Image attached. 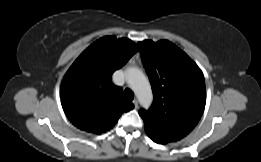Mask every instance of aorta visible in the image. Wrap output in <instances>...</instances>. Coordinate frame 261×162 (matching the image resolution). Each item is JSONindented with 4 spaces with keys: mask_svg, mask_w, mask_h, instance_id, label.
Wrapping results in <instances>:
<instances>
[{
    "mask_svg": "<svg viewBox=\"0 0 261 162\" xmlns=\"http://www.w3.org/2000/svg\"><path fill=\"white\" fill-rule=\"evenodd\" d=\"M126 80L135 92L140 104L148 108L152 103L153 94L145 74L138 68H129L126 71Z\"/></svg>",
    "mask_w": 261,
    "mask_h": 162,
    "instance_id": "1",
    "label": "aorta"
}]
</instances>
